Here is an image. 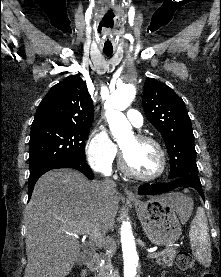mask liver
I'll return each mask as SVG.
<instances>
[{"mask_svg": "<svg viewBox=\"0 0 221 277\" xmlns=\"http://www.w3.org/2000/svg\"><path fill=\"white\" fill-rule=\"evenodd\" d=\"M178 205L183 196L168 194ZM119 208L116 190L105 192L103 183L90 182L72 169L52 170L36 182L26 207L27 266L24 277H66L81 256L75 235L91 226L105 235Z\"/></svg>", "mask_w": 221, "mask_h": 277, "instance_id": "1", "label": "liver"}]
</instances>
